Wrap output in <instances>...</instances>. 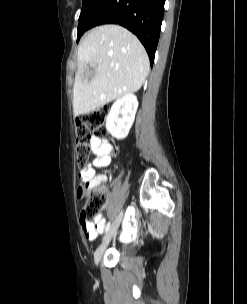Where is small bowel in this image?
<instances>
[{"mask_svg":"<svg viewBox=\"0 0 247 304\" xmlns=\"http://www.w3.org/2000/svg\"><path fill=\"white\" fill-rule=\"evenodd\" d=\"M90 149L94 156V159L90 164H88L80 171L79 179L82 182H88L91 185H97L100 182L104 181L105 178L101 174H98L96 169L109 165L111 160L110 154L112 152V146L107 140L101 139L97 136H92L90 139ZM81 228L85 237L88 240L92 241L96 239L100 233L103 232L105 228V219L100 214L97 216L93 223L86 224L81 221ZM137 235V228L135 226L129 225L123 230L121 238L128 241L136 239Z\"/></svg>","mask_w":247,"mask_h":304,"instance_id":"obj_1","label":"small bowel"}]
</instances>
